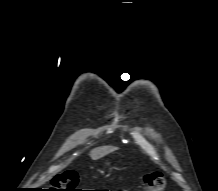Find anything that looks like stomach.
<instances>
[{
    "mask_svg": "<svg viewBox=\"0 0 218 191\" xmlns=\"http://www.w3.org/2000/svg\"><path fill=\"white\" fill-rule=\"evenodd\" d=\"M105 164H106V165H108V164H109V162H105Z\"/></svg>",
    "mask_w": 218,
    "mask_h": 191,
    "instance_id": "obj_1",
    "label": "stomach"
}]
</instances>
